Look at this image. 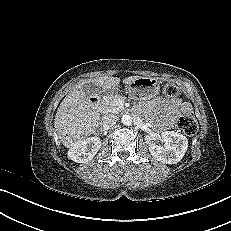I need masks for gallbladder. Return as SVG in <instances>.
<instances>
[{
	"label": "gallbladder",
	"instance_id": "obj_1",
	"mask_svg": "<svg viewBox=\"0 0 231 231\" xmlns=\"http://www.w3.org/2000/svg\"><path fill=\"white\" fill-rule=\"evenodd\" d=\"M83 92L86 96L98 95L101 89L95 83H85L82 87Z\"/></svg>",
	"mask_w": 231,
	"mask_h": 231
}]
</instances>
